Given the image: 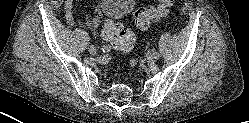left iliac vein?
Returning a JSON list of instances; mask_svg holds the SVG:
<instances>
[{"label":"left iliac vein","instance_id":"left-iliac-vein-1","mask_svg":"<svg viewBox=\"0 0 249 123\" xmlns=\"http://www.w3.org/2000/svg\"><path fill=\"white\" fill-rule=\"evenodd\" d=\"M147 60L150 63L155 60L154 51H148V53H147Z\"/></svg>","mask_w":249,"mask_h":123}]
</instances>
